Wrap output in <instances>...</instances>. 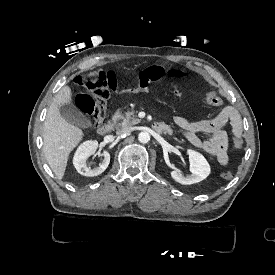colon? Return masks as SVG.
<instances>
[{"instance_id":"1","label":"colon","mask_w":275,"mask_h":275,"mask_svg":"<svg viewBox=\"0 0 275 275\" xmlns=\"http://www.w3.org/2000/svg\"><path fill=\"white\" fill-rule=\"evenodd\" d=\"M91 80V81H90ZM90 80L88 77H76L74 80V85L76 88H83L84 92L79 93L75 97V103L78 106L82 114L87 115L90 120L97 124L101 123L106 115V110L108 106V83L109 81L103 80V75L101 72H92L90 75ZM169 90L181 96H185L186 92L180 85H166ZM103 89V91H100ZM202 99L210 106L220 107L223 105V98L212 92L207 91L202 95ZM222 176L226 179L232 177L230 171H225Z\"/></svg>"}]
</instances>
